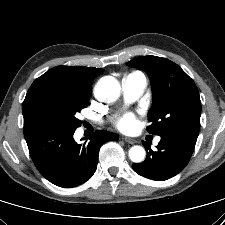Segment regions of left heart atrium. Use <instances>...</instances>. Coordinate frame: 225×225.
Returning <instances> with one entry per match:
<instances>
[{"label": "left heart atrium", "mask_w": 225, "mask_h": 225, "mask_svg": "<svg viewBox=\"0 0 225 225\" xmlns=\"http://www.w3.org/2000/svg\"><path fill=\"white\" fill-rule=\"evenodd\" d=\"M137 124L136 116L132 112H125L116 120V127L122 131H130Z\"/></svg>", "instance_id": "1"}]
</instances>
